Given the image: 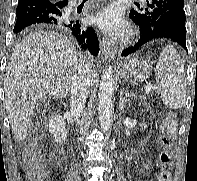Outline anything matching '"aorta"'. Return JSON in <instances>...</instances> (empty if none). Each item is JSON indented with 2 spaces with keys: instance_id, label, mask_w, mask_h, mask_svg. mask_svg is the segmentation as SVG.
<instances>
[{
  "instance_id": "762f6f07",
  "label": "aorta",
  "mask_w": 197,
  "mask_h": 181,
  "mask_svg": "<svg viewBox=\"0 0 197 181\" xmlns=\"http://www.w3.org/2000/svg\"><path fill=\"white\" fill-rule=\"evenodd\" d=\"M98 111L101 129L109 130L113 114V69L108 65L101 77L98 91Z\"/></svg>"
}]
</instances>
